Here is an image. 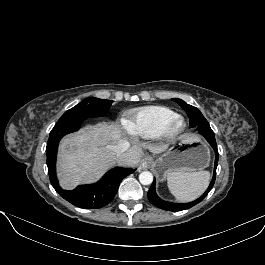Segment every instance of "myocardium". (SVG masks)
Wrapping results in <instances>:
<instances>
[{"label":"myocardium","mask_w":265,"mask_h":265,"mask_svg":"<svg viewBox=\"0 0 265 265\" xmlns=\"http://www.w3.org/2000/svg\"><path fill=\"white\" fill-rule=\"evenodd\" d=\"M186 127L187 123L185 118L177 114L165 124L160 137L168 142L174 141L181 136Z\"/></svg>","instance_id":"myocardium-1"}]
</instances>
